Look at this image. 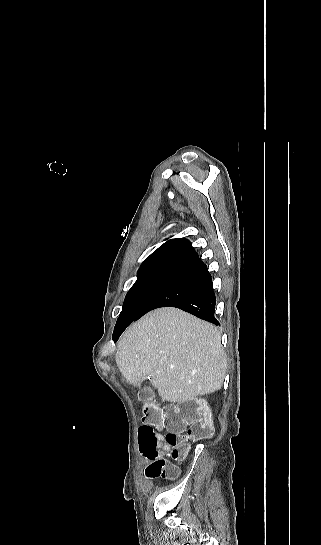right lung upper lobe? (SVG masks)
Segmentation results:
<instances>
[{
    "label": "right lung upper lobe",
    "instance_id": "right-lung-upper-lobe-1",
    "mask_svg": "<svg viewBox=\"0 0 321 545\" xmlns=\"http://www.w3.org/2000/svg\"><path fill=\"white\" fill-rule=\"evenodd\" d=\"M197 256L198 254L187 239H170L156 249L141 264L140 269L166 267L176 270Z\"/></svg>",
    "mask_w": 321,
    "mask_h": 545
}]
</instances>
